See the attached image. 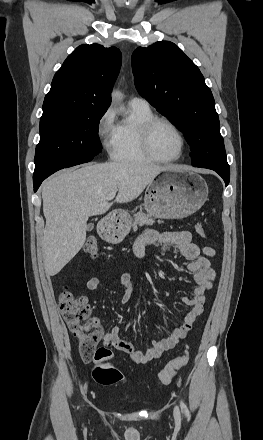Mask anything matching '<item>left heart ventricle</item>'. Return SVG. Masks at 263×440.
Returning <instances> with one entry per match:
<instances>
[{
	"mask_svg": "<svg viewBox=\"0 0 263 440\" xmlns=\"http://www.w3.org/2000/svg\"><path fill=\"white\" fill-rule=\"evenodd\" d=\"M180 138L172 127L158 123L151 132V148L161 158H172L180 151Z\"/></svg>",
	"mask_w": 263,
	"mask_h": 440,
	"instance_id": "1",
	"label": "left heart ventricle"
}]
</instances>
